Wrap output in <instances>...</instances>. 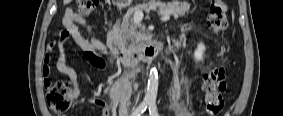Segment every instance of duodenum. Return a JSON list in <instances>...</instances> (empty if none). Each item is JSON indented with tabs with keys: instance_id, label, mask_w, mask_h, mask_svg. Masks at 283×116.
I'll list each match as a JSON object with an SVG mask.
<instances>
[{
	"instance_id": "duodenum-1",
	"label": "duodenum",
	"mask_w": 283,
	"mask_h": 116,
	"mask_svg": "<svg viewBox=\"0 0 283 116\" xmlns=\"http://www.w3.org/2000/svg\"><path fill=\"white\" fill-rule=\"evenodd\" d=\"M118 10H122L123 6H118ZM109 40H108V47L111 52L123 63L127 66L134 68L135 66L139 65L141 62H149L152 61L155 56L161 50L158 44L156 45H149L142 49L138 50H124L119 46L117 41L112 37V31L109 30L108 33ZM134 83V74L131 73L126 78H123L119 81V86L126 90H130Z\"/></svg>"
}]
</instances>
